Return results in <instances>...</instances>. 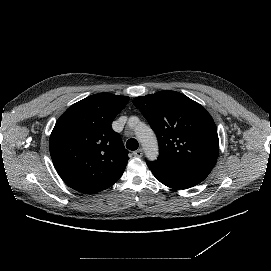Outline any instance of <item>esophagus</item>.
<instances>
[{"instance_id":"1","label":"esophagus","mask_w":271,"mask_h":271,"mask_svg":"<svg viewBox=\"0 0 271 271\" xmlns=\"http://www.w3.org/2000/svg\"><path fill=\"white\" fill-rule=\"evenodd\" d=\"M133 155L137 158H141L143 156V149L139 148L133 152Z\"/></svg>"}]
</instances>
